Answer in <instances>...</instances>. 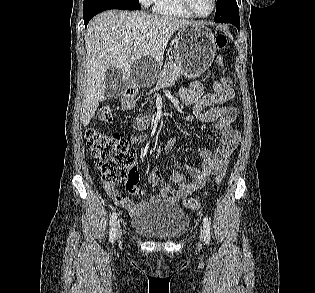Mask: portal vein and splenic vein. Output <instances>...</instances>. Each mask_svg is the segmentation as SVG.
I'll return each mask as SVG.
<instances>
[{
	"instance_id": "18ae733b",
	"label": "portal vein and splenic vein",
	"mask_w": 315,
	"mask_h": 293,
	"mask_svg": "<svg viewBox=\"0 0 315 293\" xmlns=\"http://www.w3.org/2000/svg\"><path fill=\"white\" fill-rule=\"evenodd\" d=\"M138 44H139V41H135L133 45L137 46Z\"/></svg>"
}]
</instances>
